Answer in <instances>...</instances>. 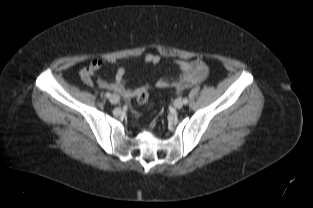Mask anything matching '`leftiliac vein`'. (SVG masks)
<instances>
[{"mask_svg":"<svg viewBox=\"0 0 313 208\" xmlns=\"http://www.w3.org/2000/svg\"><path fill=\"white\" fill-rule=\"evenodd\" d=\"M174 106L177 109H181L183 107V101L181 99H176L174 101Z\"/></svg>","mask_w":313,"mask_h":208,"instance_id":"1","label":"left iliac vein"}]
</instances>
